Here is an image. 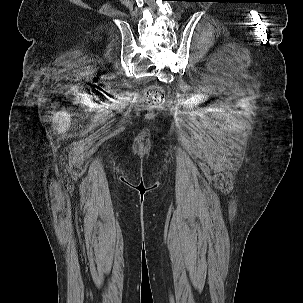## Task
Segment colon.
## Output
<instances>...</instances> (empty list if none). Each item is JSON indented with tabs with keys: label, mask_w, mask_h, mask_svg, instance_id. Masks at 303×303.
Masks as SVG:
<instances>
[{
	"label": "colon",
	"mask_w": 303,
	"mask_h": 303,
	"mask_svg": "<svg viewBox=\"0 0 303 303\" xmlns=\"http://www.w3.org/2000/svg\"><path fill=\"white\" fill-rule=\"evenodd\" d=\"M144 101L150 107H157L165 102V92L160 86H152L144 91Z\"/></svg>",
	"instance_id": "1"
}]
</instances>
